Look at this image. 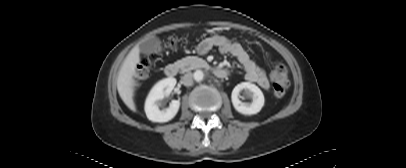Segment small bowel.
I'll list each match as a JSON object with an SVG mask.
<instances>
[{"label": "small bowel", "instance_id": "1", "mask_svg": "<svg viewBox=\"0 0 406 168\" xmlns=\"http://www.w3.org/2000/svg\"><path fill=\"white\" fill-rule=\"evenodd\" d=\"M219 47L222 54L235 57L245 71V79L257 83L263 89H269L270 82L266 72L252 60L245 49L236 42L222 36H213L205 39L198 47L200 54L207 53L212 47Z\"/></svg>", "mask_w": 406, "mask_h": 168}]
</instances>
